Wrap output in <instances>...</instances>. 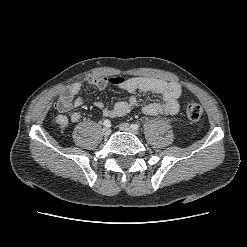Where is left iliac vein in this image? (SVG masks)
<instances>
[{
	"label": "left iliac vein",
	"instance_id": "obj_1",
	"mask_svg": "<svg viewBox=\"0 0 247 247\" xmlns=\"http://www.w3.org/2000/svg\"><path fill=\"white\" fill-rule=\"evenodd\" d=\"M120 130L125 131V132H129L135 135L139 134V131L136 129H133L128 123H121L119 125Z\"/></svg>",
	"mask_w": 247,
	"mask_h": 247
}]
</instances>
